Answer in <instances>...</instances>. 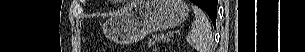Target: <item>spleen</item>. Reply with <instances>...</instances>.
Segmentation results:
<instances>
[{
  "instance_id": "obj_1",
  "label": "spleen",
  "mask_w": 305,
  "mask_h": 52,
  "mask_svg": "<svg viewBox=\"0 0 305 52\" xmlns=\"http://www.w3.org/2000/svg\"><path fill=\"white\" fill-rule=\"evenodd\" d=\"M192 10L195 21L192 23L186 41L198 52H213L212 30L208 18L199 7L193 6Z\"/></svg>"
}]
</instances>
